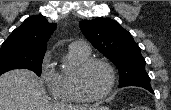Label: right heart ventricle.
I'll list each match as a JSON object with an SVG mask.
<instances>
[{
    "label": "right heart ventricle",
    "instance_id": "right-heart-ventricle-1",
    "mask_svg": "<svg viewBox=\"0 0 171 110\" xmlns=\"http://www.w3.org/2000/svg\"><path fill=\"white\" fill-rule=\"evenodd\" d=\"M90 57V52L70 45L65 57L67 68L56 72L55 78L48 85L52 97L60 102L78 103L83 100L74 89L73 76L76 69Z\"/></svg>",
    "mask_w": 171,
    "mask_h": 110
}]
</instances>
